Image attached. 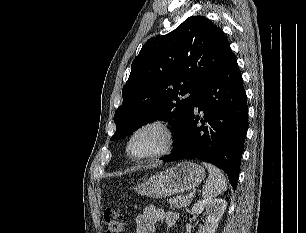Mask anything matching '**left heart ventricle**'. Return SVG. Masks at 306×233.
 <instances>
[{
  "instance_id": "b2bd125f",
  "label": "left heart ventricle",
  "mask_w": 306,
  "mask_h": 233,
  "mask_svg": "<svg viewBox=\"0 0 306 233\" xmlns=\"http://www.w3.org/2000/svg\"><path fill=\"white\" fill-rule=\"evenodd\" d=\"M164 144L163 132L155 127L146 128L135 135L130 143L133 156H146L160 150Z\"/></svg>"
}]
</instances>
